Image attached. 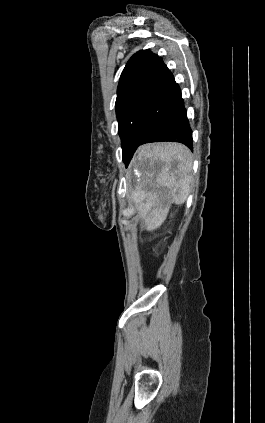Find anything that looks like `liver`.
Returning a JSON list of instances; mask_svg holds the SVG:
<instances>
[{
	"label": "liver",
	"mask_w": 265,
	"mask_h": 423,
	"mask_svg": "<svg viewBox=\"0 0 265 423\" xmlns=\"http://www.w3.org/2000/svg\"><path fill=\"white\" fill-rule=\"evenodd\" d=\"M131 166L141 174V184L132 192L133 204L145 229L155 230L165 221L170 204L187 198L192 154L180 143L146 144L139 147ZM156 187L166 188L168 194L160 196Z\"/></svg>",
	"instance_id": "liver-1"
}]
</instances>
